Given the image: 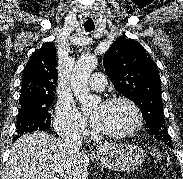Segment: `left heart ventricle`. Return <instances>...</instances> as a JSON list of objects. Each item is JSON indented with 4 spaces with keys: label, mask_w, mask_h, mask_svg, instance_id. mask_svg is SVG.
I'll return each mask as SVG.
<instances>
[{
    "label": "left heart ventricle",
    "mask_w": 183,
    "mask_h": 179,
    "mask_svg": "<svg viewBox=\"0 0 183 179\" xmlns=\"http://www.w3.org/2000/svg\"><path fill=\"white\" fill-rule=\"evenodd\" d=\"M94 116L101 119L100 131L118 133L131 128L135 123V114L132 108L126 103L112 105H99Z\"/></svg>",
    "instance_id": "1"
}]
</instances>
